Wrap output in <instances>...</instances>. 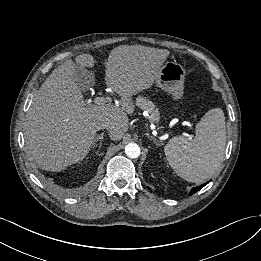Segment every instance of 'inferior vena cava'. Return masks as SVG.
Listing matches in <instances>:
<instances>
[{
	"mask_svg": "<svg viewBox=\"0 0 261 261\" xmlns=\"http://www.w3.org/2000/svg\"><path fill=\"white\" fill-rule=\"evenodd\" d=\"M99 129H107L108 131H110L111 130V127H110V125L109 124H107V123H104V124H102L101 126H100V128Z\"/></svg>",
	"mask_w": 261,
	"mask_h": 261,
	"instance_id": "inferior-vena-cava-1",
	"label": "inferior vena cava"
}]
</instances>
